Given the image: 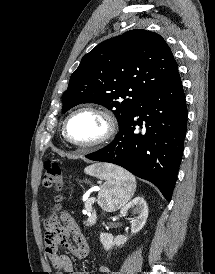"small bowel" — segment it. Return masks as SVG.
<instances>
[{
  "label": "small bowel",
  "mask_w": 215,
  "mask_h": 274,
  "mask_svg": "<svg viewBox=\"0 0 215 274\" xmlns=\"http://www.w3.org/2000/svg\"><path fill=\"white\" fill-rule=\"evenodd\" d=\"M45 245L56 269V274H89L85 271H75L70 257L58 253L59 248L63 247L80 259L86 258L90 254V247L85 235L69 214L65 213L60 218L52 216L46 220ZM98 271L109 273L110 269L102 265Z\"/></svg>",
  "instance_id": "obj_1"
}]
</instances>
